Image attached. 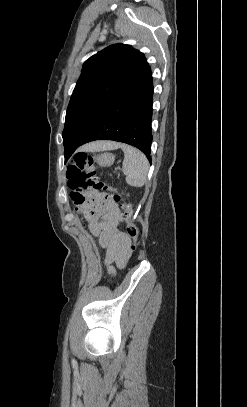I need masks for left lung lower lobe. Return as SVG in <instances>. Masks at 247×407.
Instances as JSON below:
<instances>
[{
    "label": "left lung lower lobe",
    "mask_w": 247,
    "mask_h": 407,
    "mask_svg": "<svg viewBox=\"0 0 247 407\" xmlns=\"http://www.w3.org/2000/svg\"><path fill=\"white\" fill-rule=\"evenodd\" d=\"M152 104L153 81L148 65L111 101L79 146L102 139L124 142L140 149L151 162Z\"/></svg>",
    "instance_id": "left-lung-lower-lobe-1"
}]
</instances>
